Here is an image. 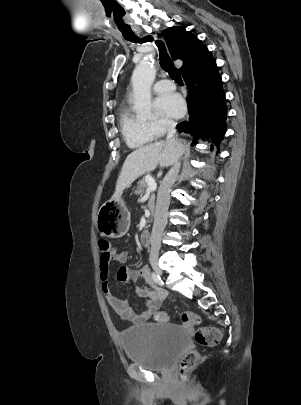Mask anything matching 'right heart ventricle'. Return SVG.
Returning <instances> with one entry per match:
<instances>
[{
	"label": "right heart ventricle",
	"instance_id": "obj_1",
	"mask_svg": "<svg viewBox=\"0 0 301 405\" xmlns=\"http://www.w3.org/2000/svg\"><path fill=\"white\" fill-rule=\"evenodd\" d=\"M119 124L126 144L130 148L142 147L156 137L149 123L137 118L128 107L121 111Z\"/></svg>",
	"mask_w": 301,
	"mask_h": 405
}]
</instances>
